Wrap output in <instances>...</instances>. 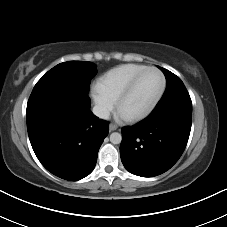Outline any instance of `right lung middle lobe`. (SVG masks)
<instances>
[{
  "mask_svg": "<svg viewBox=\"0 0 227 227\" xmlns=\"http://www.w3.org/2000/svg\"><path fill=\"white\" fill-rule=\"evenodd\" d=\"M96 73V65L92 62L69 61L58 64L37 82L27 108L58 94L82 93L88 95L90 80Z\"/></svg>",
  "mask_w": 227,
  "mask_h": 227,
  "instance_id": "right-lung-middle-lobe-1",
  "label": "right lung middle lobe"
}]
</instances>
